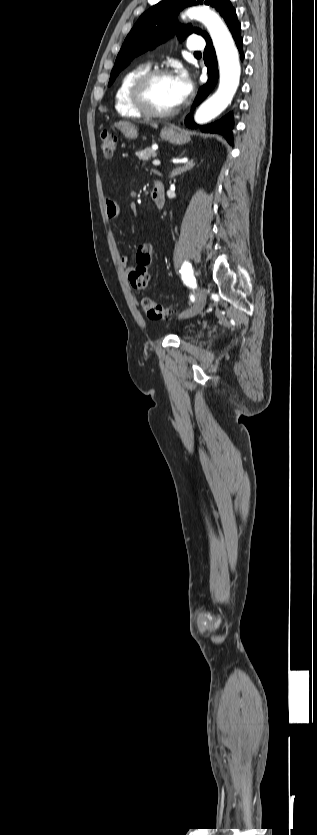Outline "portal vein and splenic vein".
Returning <instances> with one entry per match:
<instances>
[{"label": "portal vein and splenic vein", "instance_id": "obj_1", "mask_svg": "<svg viewBox=\"0 0 317 835\" xmlns=\"http://www.w3.org/2000/svg\"><path fill=\"white\" fill-rule=\"evenodd\" d=\"M153 148H155V147H153ZM152 164H153L154 166H159V165H160V161H159V160H154V161L152 162ZM158 174H159V172H158Z\"/></svg>", "mask_w": 317, "mask_h": 835}]
</instances>
